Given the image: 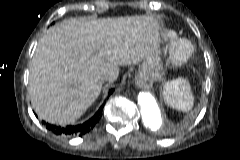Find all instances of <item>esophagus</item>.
I'll return each mask as SVG.
<instances>
[{"mask_svg": "<svg viewBox=\"0 0 240 160\" xmlns=\"http://www.w3.org/2000/svg\"><path fill=\"white\" fill-rule=\"evenodd\" d=\"M135 85L140 89H150L153 85V81L146 73L141 72L135 78Z\"/></svg>", "mask_w": 240, "mask_h": 160, "instance_id": "1", "label": "esophagus"}]
</instances>
